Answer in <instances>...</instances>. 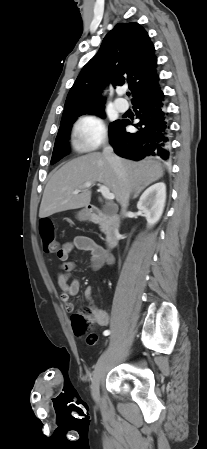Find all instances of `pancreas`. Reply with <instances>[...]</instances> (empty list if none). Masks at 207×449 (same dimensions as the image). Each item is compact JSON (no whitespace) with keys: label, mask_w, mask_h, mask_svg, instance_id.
Segmentation results:
<instances>
[{"label":"pancreas","mask_w":207,"mask_h":449,"mask_svg":"<svg viewBox=\"0 0 207 449\" xmlns=\"http://www.w3.org/2000/svg\"><path fill=\"white\" fill-rule=\"evenodd\" d=\"M100 230H101L102 232L105 233V232L108 230V225H107V223L101 222V223H100Z\"/></svg>","instance_id":"cf45deb5"}]
</instances>
